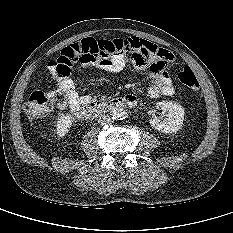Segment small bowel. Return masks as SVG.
Returning a JSON list of instances; mask_svg holds the SVG:
<instances>
[{"instance_id":"small-bowel-1","label":"small bowel","mask_w":233,"mask_h":233,"mask_svg":"<svg viewBox=\"0 0 233 233\" xmlns=\"http://www.w3.org/2000/svg\"><path fill=\"white\" fill-rule=\"evenodd\" d=\"M130 41L135 45L129 56L130 65L136 69L149 68V78L151 81L148 89L149 96L157 98L173 95L174 86L167 72V67L174 61L173 53L146 40L132 39ZM126 64V57L119 54L114 55L109 60L85 64L84 69L87 70L95 67L108 73H118L125 68ZM48 69L52 78L57 82L55 92L63 97L58 103L59 108L65 109L69 107L73 113L81 117L79 110L83 105L91 101V97L89 95H80L70 74L60 75L55 69L53 60L49 62Z\"/></svg>"}]
</instances>
